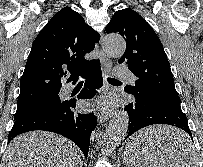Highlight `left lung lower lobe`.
Returning a JSON list of instances; mask_svg holds the SVG:
<instances>
[{"instance_id":"1","label":"left lung lower lobe","mask_w":203,"mask_h":167,"mask_svg":"<svg viewBox=\"0 0 203 167\" xmlns=\"http://www.w3.org/2000/svg\"><path fill=\"white\" fill-rule=\"evenodd\" d=\"M125 110L129 116L128 135L131 136L139 129L153 124H168L181 128L188 133L192 139L191 131L188 126L187 118L181 110L179 97L160 98L156 93H146L142 96H135ZM190 137L186 142L181 143L182 149H188ZM155 141H144L142 146H156Z\"/></svg>"}]
</instances>
